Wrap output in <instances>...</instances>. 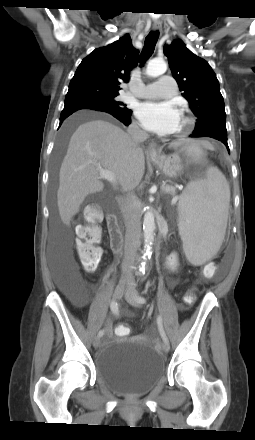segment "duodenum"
I'll return each mask as SVG.
<instances>
[{"mask_svg":"<svg viewBox=\"0 0 255 440\" xmlns=\"http://www.w3.org/2000/svg\"><path fill=\"white\" fill-rule=\"evenodd\" d=\"M107 226H108L112 248L115 253H119L122 245V233L119 229L117 218L114 214L108 215Z\"/></svg>","mask_w":255,"mask_h":440,"instance_id":"obj_1","label":"duodenum"}]
</instances>
